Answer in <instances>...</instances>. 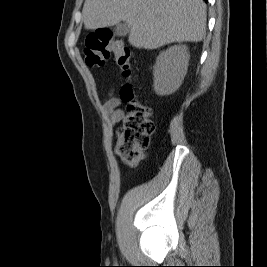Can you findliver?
Segmentation results:
<instances>
[{"mask_svg": "<svg viewBox=\"0 0 267 267\" xmlns=\"http://www.w3.org/2000/svg\"><path fill=\"white\" fill-rule=\"evenodd\" d=\"M85 29L125 22L129 43L157 49L173 42H200L205 36L206 4L202 0H85Z\"/></svg>", "mask_w": 267, "mask_h": 267, "instance_id": "liver-1", "label": "liver"}]
</instances>
